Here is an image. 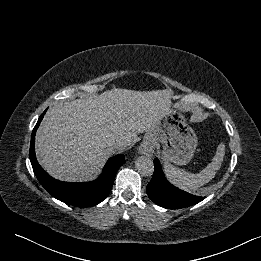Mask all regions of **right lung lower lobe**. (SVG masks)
<instances>
[{"label": "right lung lower lobe", "instance_id": "obj_1", "mask_svg": "<svg viewBox=\"0 0 261 261\" xmlns=\"http://www.w3.org/2000/svg\"><path fill=\"white\" fill-rule=\"evenodd\" d=\"M39 117L35 125L30 144V161L34 174L41 185L56 199L73 205L75 207H92L102 202L112 189L117 170L125 163L124 155L118 154L110 158L103 172L95 181L86 183L63 182L49 176L38 164L35 156V134L36 130L45 114Z\"/></svg>", "mask_w": 261, "mask_h": 261}]
</instances>
